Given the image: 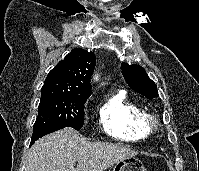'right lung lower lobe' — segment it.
I'll list each match as a JSON object with an SVG mask.
<instances>
[{"label":"right lung lower lobe","instance_id":"right-lung-lower-lobe-1","mask_svg":"<svg viewBox=\"0 0 199 171\" xmlns=\"http://www.w3.org/2000/svg\"><path fill=\"white\" fill-rule=\"evenodd\" d=\"M64 128V126H48V127H42L39 128L38 130H36L35 132H33L32 134V138H31V143L30 146L39 138H41L42 136L52 133L54 131H57L59 129Z\"/></svg>","mask_w":199,"mask_h":171}]
</instances>
